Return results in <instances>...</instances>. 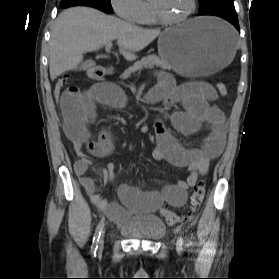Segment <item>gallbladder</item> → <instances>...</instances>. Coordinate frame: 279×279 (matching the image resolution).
Here are the masks:
<instances>
[{
  "instance_id": "obj_1",
  "label": "gallbladder",
  "mask_w": 279,
  "mask_h": 279,
  "mask_svg": "<svg viewBox=\"0 0 279 279\" xmlns=\"http://www.w3.org/2000/svg\"><path fill=\"white\" fill-rule=\"evenodd\" d=\"M88 67H89L88 62H85L80 66V70H86V69H88Z\"/></svg>"
}]
</instances>
